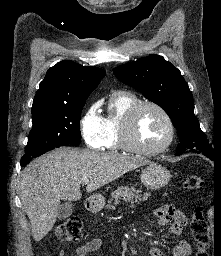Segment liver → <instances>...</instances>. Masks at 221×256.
<instances>
[{
    "instance_id": "obj_1",
    "label": "liver",
    "mask_w": 221,
    "mask_h": 256,
    "mask_svg": "<svg viewBox=\"0 0 221 256\" xmlns=\"http://www.w3.org/2000/svg\"><path fill=\"white\" fill-rule=\"evenodd\" d=\"M150 163L140 157L68 147L33 160L21 172L18 191L34 240L40 241L53 228L61 200L81 199L80 185L84 179L90 180L86 191L91 193Z\"/></svg>"
}]
</instances>
